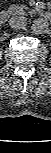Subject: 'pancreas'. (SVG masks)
Wrapping results in <instances>:
<instances>
[{"label":"pancreas","mask_w":51,"mask_h":153,"mask_svg":"<svg viewBox=\"0 0 51 153\" xmlns=\"http://www.w3.org/2000/svg\"><path fill=\"white\" fill-rule=\"evenodd\" d=\"M28 7L26 5H19V4H14V5H11L9 7V12L11 14H29L30 11L28 12Z\"/></svg>","instance_id":"1"}]
</instances>
